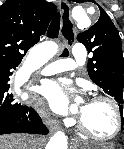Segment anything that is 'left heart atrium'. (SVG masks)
<instances>
[{
    "label": "left heart atrium",
    "instance_id": "left-heart-atrium-1",
    "mask_svg": "<svg viewBox=\"0 0 124 149\" xmlns=\"http://www.w3.org/2000/svg\"><path fill=\"white\" fill-rule=\"evenodd\" d=\"M46 91L52 98L56 99L62 105H67L70 97L78 93V91L71 87L70 82L66 79H61L49 84L46 87Z\"/></svg>",
    "mask_w": 124,
    "mask_h": 149
}]
</instances>
